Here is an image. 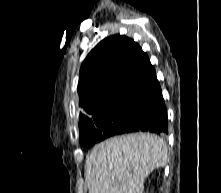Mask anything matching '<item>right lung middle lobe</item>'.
<instances>
[{"label":"right lung middle lobe","instance_id":"dd1d6c3e","mask_svg":"<svg viewBox=\"0 0 221 193\" xmlns=\"http://www.w3.org/2000/svg\"><path fill=\"white\" fill-rule=\"evenodd\" d=\"M149 109V100L122 99L100 108L93 116L79 120L80 143L89 147L119 134L138 121Z\"/></svg>","mask_w":221,"mask_h":193}]
</instances>
